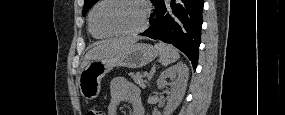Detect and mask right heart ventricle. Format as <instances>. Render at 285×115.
<instances>
[{"label":"right heart ventricle","instance_id":"1","mask_svg":"<svg viewBox=\"0 0 285 115\" xmlns=\"http://www.w3.org/2000/svg\"><path fill=\"white\" fill-rule=\"evenodd\" d=\"M89 31L92 35L93 38L95 39H105V38H108L107 36H103V35H100V34H97L96 32H94L89 24Z\"/></svg>","mask_w":285,"mask_h":115}]
</instances>
